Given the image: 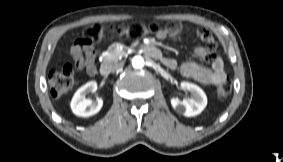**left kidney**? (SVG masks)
<instances>
[{
    "label": "left kidney",
    "mask_w": 283,
    "mask_h": 162,
    "mask_svg": "<svg viewBox=\"0 0 283 162\" xmlns=\"http://www.w3.org/2000/svg\"><path fill=\"white\" fill-rule=\"evenodd\" d=\"M183 90L190 93V97L179 100L177 97L171 98L170 102L175 111L186 117L200 114L207 105V97L204 91L196 84L183 81L180 84Z\"/></svg>",
    "instance_id": "1"
}]
</instances>
